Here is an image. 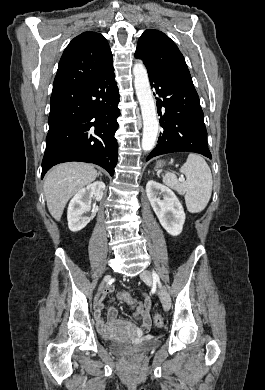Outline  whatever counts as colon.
<instances>
[{
  "label": "colon",
  "instance_id": "obj_1",
  "mask_svg": "<svg viewBox=\"0 0 265 390\" xmlns=\"http://www.w3.org/2000/svg\"><path fill=\"white\" fill-rule=\"evenodd\" d=\"M117 298L120 300V301H124L130 305H134L136 303V300L132 298V296L129 294V293H126V292H123V293H119ZM154 325L156 327H161L163 325V319L162 317L159 315V314H156L154 316Z\"/></svg>",
  "mask_w": 265,
  "mask_h": 390
}]
</instances>
